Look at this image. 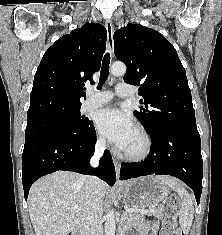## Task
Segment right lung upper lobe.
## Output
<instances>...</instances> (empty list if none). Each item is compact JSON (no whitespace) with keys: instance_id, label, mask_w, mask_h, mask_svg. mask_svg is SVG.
Instances as JSON below:
<instances>
[{"instance_id":"obj_1","label":"right lung upper lobe","mask_w":222,"mask_h":235,"mask_svg":"<svg viewBox=\"0 0 222 235\" xmlns=\"http://www.w3.org/2000/svg\"><path fill=\"white\" fill-rule=\"evenodd\" d=\"M106 28L86 23L58 39L44 54L34 77L27 117L81 104L85 82L100 69Z\"/></svg>"}]
</instances>
